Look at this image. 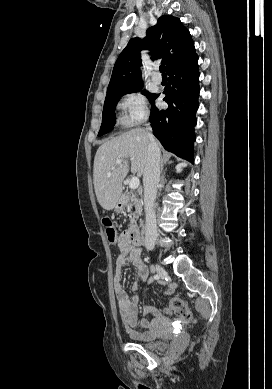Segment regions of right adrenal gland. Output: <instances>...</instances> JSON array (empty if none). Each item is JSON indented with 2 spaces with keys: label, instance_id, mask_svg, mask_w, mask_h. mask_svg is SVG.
<instances>
[{
  "label": "right adrenal gland",
  "instance_id": "obj_1",
  "mask_svg": "<svg viewBox=\"0 0 272 389\" xmlns=\"http://www.w3.org/2000/svg\"><path fill=\"white\" fill-rule=\"evenodd\" d=\"M172 163L171 161L169 162V164ZM163 168H164V157H162L161 159V172L163 171Z\"/></svg>",
  "mask_w": 272,
  "mask_h": 389
}]
</instances>
